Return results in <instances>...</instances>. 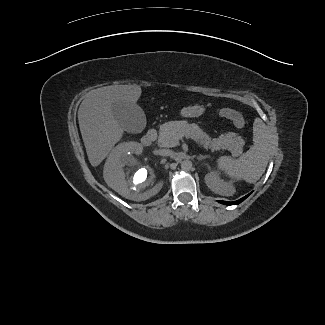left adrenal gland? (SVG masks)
Wrapping results in <instances>:
<instances>
[{
    "mask_svg": "<svg viewBox=\"0 0 325 325\" xmlns=\"http://www.w3.org/2000/svg\"><path fill=\"white\" fill-rule=\"evenodd\" d=\"M206 158H209V156H207V155H199V156L197 157V159H198L199 161H201V160H203V159H206Z\"/></svg>",
    "mask_w": 325,
    "mask_h": 325,
    "instance_id": "1",
    "label": "left adrenal gland"
}]
</instances>
